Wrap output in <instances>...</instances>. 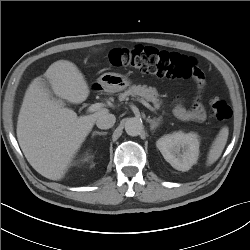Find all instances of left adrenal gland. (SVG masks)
Here are the masks:
<instances>
[{
  "label": "left adrenal gland",
  "mask_w": 250,
  "mask_h": 250,
  "mask_svg": "<svg viewBox=\"0 0 250 250\" xmlns=\"http://www.w3.org/2000/svg\"><path fill=\"white\" fill-rule=\"evenodd\" d=\"M162 117L159 118H154V119H150V117L147 118V121L150 123V129L153 131L155 130L161 122Z\"/></svg>",
  "instance_id": "a2214340"
}]
</instances>
